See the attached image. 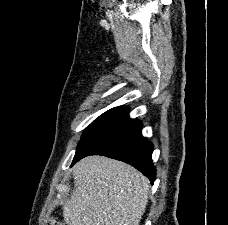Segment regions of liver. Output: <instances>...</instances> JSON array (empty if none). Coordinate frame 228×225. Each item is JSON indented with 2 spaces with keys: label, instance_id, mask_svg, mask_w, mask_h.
Returning <instances> with one entry per match:
<instances>
[{
  "label": "liver",
  "instance_id": "obj_1",
  "mask_svg": "<svg viewBox=\"0 0 228 225\" xmlns=\"http://www.w3.org/2000/svg\"><path fill=\"white\" fill-rule=\"evenodd\" d=\"M73 171L74 191L63 207L65 225H139L150 191L142 173L107 157H85Z\"/></svg>",
  "mask_w": 228,
  "mask_h": 225
}]
</instances>
